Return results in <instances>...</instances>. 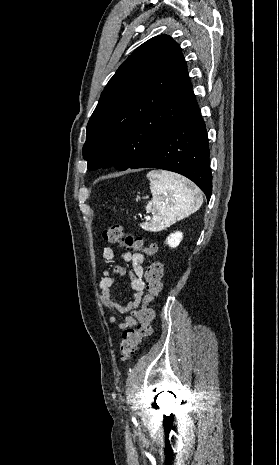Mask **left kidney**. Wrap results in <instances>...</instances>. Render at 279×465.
<instances>
[{
  "instance_id": "1",
  "label": "left kidney",
  "mask_w": 279,
  "mask_h": 465,
  "mask_svg": "<svg viewBox=\"0 0 279 465\" xmlns=\"http://www.w3.org/2000/svg\"><path fill=\"white\" fill-rule=\"evenodd\" d=\"M183 234L182 232L176 231L174 233H171L166 240V243L169 245L171 248L177 247L180 242L182 241Z\"/></svg>"
}]
</instances>
